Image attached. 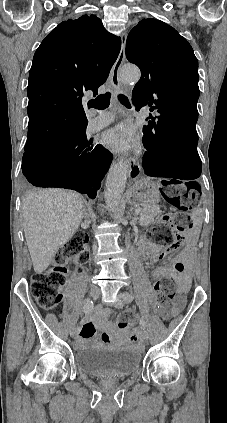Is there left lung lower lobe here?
Instances as JSON below:
<instances>
[{"instance_id": "1", "label": "left lung lower lobe", "mask_w": 227, "mask_h": 423, "mask_svg": "<svg viewBox=\"0 0 227 423\" xmlns=\"http://www.w3.org/2000/svg\"><path fill=\"white\" fill-rule=\"evenodd\" d=\"M197 119L155 116L143 126L147 149L143 167L148 176L194 180L201 175L197 152Z\"/></svg>"}]
</instances>
